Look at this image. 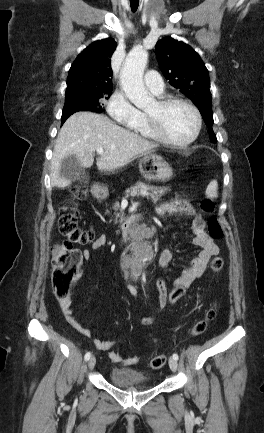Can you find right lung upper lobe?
<instances>
[{"label":"right lung upper lobe","instance_id":"1","mask_svg":"<svg viewBox=\"0 0 264 433\" xmlns=\"http://www.w3.org/2000/svg\"><path fill=\"white\" fill-rule=\"evenodd\" d=\"M116 46L112 38L98 40L78 55L69 70L66 97L112 89L110 57Z\"/></svg>","mask_w":264,"mask_h":433}]
</instances>
